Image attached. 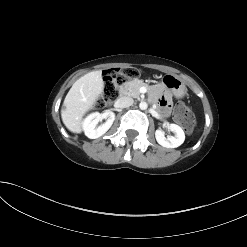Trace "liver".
<instances>
[{"label":"liver","mask_w":247,"mask_h":247,"mask_svg":"<svg viewBox=\"0 0 247 247\" xmlns=\"http://www.w3.org/2000/svg\"><path fill=\"white\" fill-rule=\"evenodd\" d=\"M103 88L101 70L85 74L72 85L61 110L62 121L71 132H82L83 117L94 107Z\"/></svg>","instance_id":"obj_1"}]
</instances>
